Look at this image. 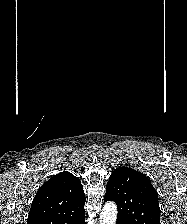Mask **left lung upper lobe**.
<instances>
[{
	"label": "left lung upper lobe",
	"instance_id": "1",
	"mask_svg": "<svg viewBox=\"0 0 187 224\" xmlns=\"http://www.w3.org/2000/svg\"><path fill=\"white\" fill-rule=\"evenodd\" d=\"M114 201L122 224H160L158 194L150 180L129 168H116L106 186L104 202Z\"/></svg>",
	"mask_w": 187,
	"mask_h": 224
}]
</instances>
